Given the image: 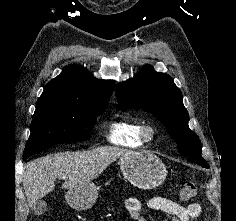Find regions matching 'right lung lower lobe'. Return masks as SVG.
Masks as SVG:
<instances>
[{"label": "right lung lower lobe", "mask_w": 236, "mask_h": 221, "mask_svg": "<svg viewBox=\"0 0 236 221\" xmlns=\"http://www.w3.org/2000/svg\"><path fill=\"white\" fill-rule=\"evenodd\" d=\"M29 158V157H28ZM28 158H23L24 161L28 160Z\"/></svg>", "instance_id": "1"}]
</instances>
